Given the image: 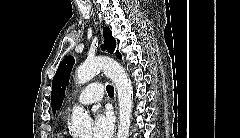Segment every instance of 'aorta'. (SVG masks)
Instances as JSON below:
<instances>
[{"instance_id": "aorta-1", "label": "aorta", "mask_w": 240, "mask_h": 138, "mask_svg": "<svg viewBox=\"0 0 240 138\" xmlns=\"http://www.w3.org/2000/svg\"><path fill=\"white\" fill-rule=\"evenodd\" d=\"M100 70L115 84L119 102V127L117 138H128L131 124L133 105V89L124 67L113 59L98 57L85 61L77 69L76 83L85 84ZM70 132L76 138L91 137V118L80 106H75L72 112V125Z\"/></svg>"}]
</instances>
